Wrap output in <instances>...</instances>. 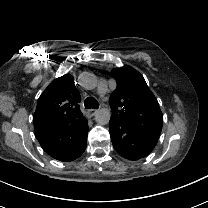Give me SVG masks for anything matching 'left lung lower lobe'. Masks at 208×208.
<instances>
[{
	"mask_svg": "<svg viewBox=\"0 0 208 208\" xmlns=\"http://www.w3.org/2000/svg\"><path fill=\"white\" fill-rule=\"evenodd\" d=\"M109 130L113 147L125 159L139 160L144 158L156 146L117 116H111Z\"/></svg>",
	"mask_w": 208,
	"mask_h": 208,
	"instance_id": "1",
	"label": "left lung lower lobe"
}]
</instances>
